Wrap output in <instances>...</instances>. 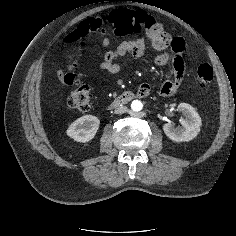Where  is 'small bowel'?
<instances>
[{"mask_svg": "<svg viewBox=\"0 0 236 236\" xmlns=\"http://www.w3.org/2000/svg\"><path fill=\"white\" fill-rule=\"evenodd\" d=\"M155 27L162 28V26L157 23H155ZM146 37L152 47L155 50L160 51V53L153 56V63L159 67H164L170 62L172 63V78L163 81L159 89L162 96H171L178 90L185 76V60L183 54L187 51V42L182 37L166 40L152 29L147 31ZM101 45L106 51L103 55L100 67L111 75L119 73L121 69L119 60L121 58L125 56H132L135 58L141 57L146 49V43L143 38L124 40L120 42L115 49L111 50L109 49L111 40L108 37H103L101 39ZM167 49H171L173 54L171 55L167 52ZM56 74L61 81H64L65 76L61 70H57ZM138 93L143 97L147 96L150 93V86L142 84L138 89Z\"/></svg>", "mask_w": 236, "mask_h": 236, "instance_id": "c3829d8e", "label": "small bowel"}]
</instances>
